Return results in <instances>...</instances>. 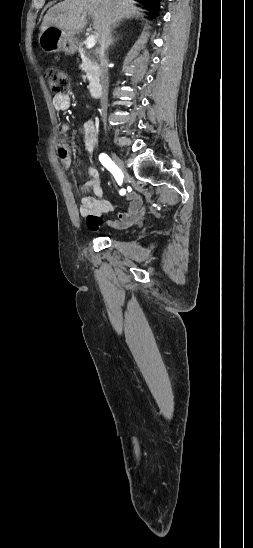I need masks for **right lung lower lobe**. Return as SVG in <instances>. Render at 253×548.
Instances as JSON below:
<instances>
[{
  "label": "right lung lower lobe",
  "instance_id": "1",
  "mask_svg": "<svg viewBox=\"0 0 253 548\" xmlns=\"http://www.w3.org/2000/svg\"><path fill=\"white\" fill-rule=\"evenodd\" d=\"M145 3L149 8L157 9L161 0H136Z\"/></svg>",
  "mask_w": 253,
  "mask_h": 548
}]
</instances>
